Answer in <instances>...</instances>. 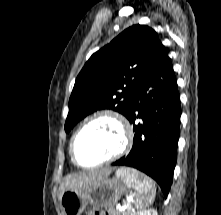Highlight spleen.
Masks as SVG:
<instances>
[{
    "label": "spleen",
    "instance_id": "1",
    "mask_svg": "<svg viewBox=\"0 0 221 215\" xmlns=\"http://www.w3.org/2000/svg\"><path fill=\"white\" fill-rule=\"evenodd\" d=\"M116 175L123 177L126 183L135 189L132 202L137 210H144L154 202L156 187L149 177L145 176L141 180L134 173L123 172L121 169L116 172Z\"/></svg>",
    "mask_w": 221,
    "mask_h": 215
}]
</instances>
